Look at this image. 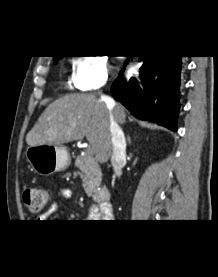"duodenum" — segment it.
<instances>
[{
  "label": "duodenum",
  "mask_w": 218,
  "mask_h": 277,
  "mask_svg": "<svg viewBox=\"0 0 218 277\" xmlns=\"http://www.w3.org/2000/svg\"><path fill=\"white\" fill-rule=\"evenodd\" d=\"M94 197L95 200L103 207H106L111 203V192L108 189H101L95 193Z\"/></svg>",
  "instance_id": "410a0bca"
}]
</instances>
